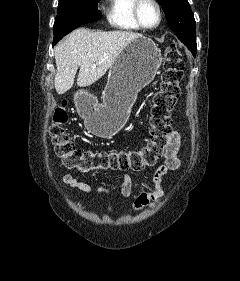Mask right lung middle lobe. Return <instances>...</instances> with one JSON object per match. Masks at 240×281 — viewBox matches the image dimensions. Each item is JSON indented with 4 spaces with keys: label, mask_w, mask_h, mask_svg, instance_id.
Listing matches in <instances>:
<instances>
[{
    "label": "right lung middle lobe",
    "mask_w": 240,
    "mask_h": 281,
    "mask_svg": "<svg viewBox=\"0 0 240 281\" xmlns=\"http://www.w3.org/2000/svg\"><path fill=\"white\" fill-rule=\"evenodd\" d=\"M100 0H59L58 13L53 26L55 45L63 36L80 25L97 21Z\"/></svg>",
    "instance_id": "right-lung-middle-lobe-1"
}]
</instances>
